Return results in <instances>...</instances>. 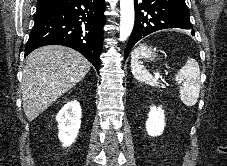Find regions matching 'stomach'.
Listing matches in <instances>:
<instances>
[{"mask_svg":"<svg viewBox=\"0 0 227 166\" xmlns=\"http://www.w3.org/2000/svg\"><path fill=\"white\" fill-rule=\"evenodd\" d=\"M138 49H139V55L144 59L154 60L157 57L158 51H156V48L150 47L145 44H140Z\"/></svg>","mask_w":227,"mask_h":166,"instance_id":"obj_1","label":"stomach"}]
</instances>
